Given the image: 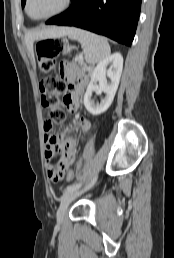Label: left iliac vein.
<instances>
[{"label":"left iliac vein","instance_id":"obj_1","mask_svg":"<svg viewBox=\"0 0 174 258\" xmlns=\"http://www.w3.org/2000/svg\"><path fill=\"white\" fill-rule=\"evenodd\" d=\"M83 193V190H72L69 192H66L62 197H61V201H60V206L57 210V222L58 223H62L64 216L66 214L67 208L69 206V204L75 200L77 197H79L81 194Z\"/></svg>","mask_w":174,"mask_h":258}]
</instances>
